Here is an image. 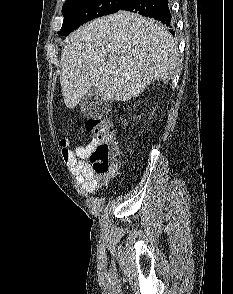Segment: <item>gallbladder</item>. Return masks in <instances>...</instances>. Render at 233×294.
<instances>
[{"label": "gallbladder", "instance_id": "obj_1", "mask_svg": "<svg viewBox=\"0 0 233 294\" xmlns=\"http://www.w3.org/2000/svg\"><path fill=\"white\" fill-rule=\"evenodd\" d=\"M81 112L90 118H98L107 109V101L104 100L99 90L92 87L80 102Z\"/></svg>", "mask_w": 233, "mask_h": 294}]
</instances>
